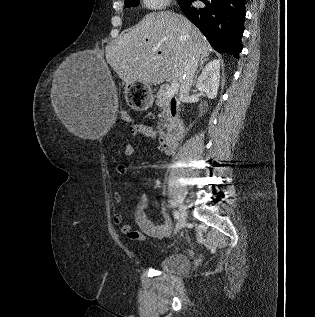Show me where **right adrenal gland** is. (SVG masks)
<instances>
[{
  "label": "right adrenal gland",
  "mask_w": 315,
  "mask_h": 317,
  "mask_svg": "<svg viewBox=\"0 0 315 317\" xmlns=\"http://www.w3.org/2000/svg\"><path fill=\"white\" fill-rule=\"evenodd\" d=\"M209 60V57L208 56H202L201 57V60H200V67H199V70L197 71V75L198 73L201 71V69L203 68V64ZM197 75L195 76V79H194V82H193V85L196 84V80H197Z\"/></svg>",
  "instance_id": "1"
}]
</instances>
